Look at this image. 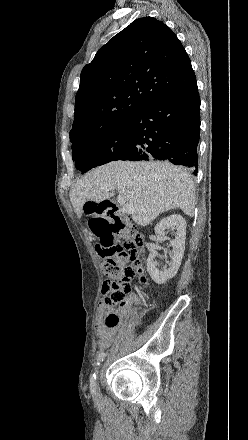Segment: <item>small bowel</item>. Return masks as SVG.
Here are the masks:
<instances>
[{"label":"small bowel","mask_w":248,"mask_h":440,"mask_svg":"<svg viewBox=\"0 0 248 440\" xmlns=\"http://www.w3.org/2000/svg\"><path fill=\"white\" fill-rule=\"evenodd\" d=\"M126 311V305L121 306L117 312H114L113 309H107L103 306H100L95 320V331L98 337L99 349L104 350L109 348L118 332V325L115 327H108L103 320V316L109 312H114L119 317H122L126 314Z\"/></svg>","instance_id":"obj_1"}]
</instances>
